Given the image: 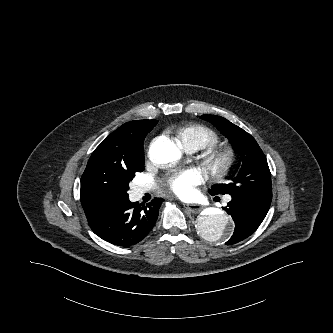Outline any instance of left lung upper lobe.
Listing matches in <instances>:
<instances>
[{
	"label": "left lung upper lobe",
	"mask_w": 333,
	"mask_h": 333,
	"mask_svg": "<svg viewBox=\"0 0 333 333\" xmlns=\"http://www.w3.org/2000/svg\"><path fill=\"white\" fill-rule=\"evenodd\" d=\"M215 124L230 142L239 150L242 163L229 177L228 184L214 185L211 195L229 194L232 198L256 200L271 204V173L266 157L256 140L246 131L227 119L216 115H202Z\"/></svg>",
	"instance_id": "obj_1"
}]
</instances>
